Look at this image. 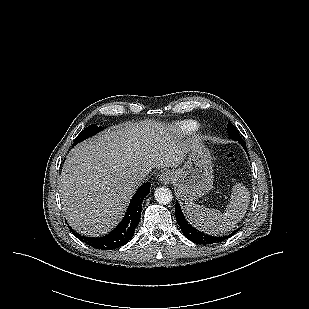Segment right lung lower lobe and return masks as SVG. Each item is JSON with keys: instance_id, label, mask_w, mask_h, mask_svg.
Segmentation results:
<instances>
[{"instance_id": "98d812e1", "label": "right lung lower lobe", "mask_w": 309, "mask_h": 309, "mask_svg": "<svg viewBox=\"0 0 309 309\" xmlns=\"http://www.w3.org/2000/svg\"><path fill=\"white\" fill-rule=\"evenodd\" d=\"M150 186L151 184L147 182L137 190L122 221L108 235L100 238L85 237L70 228L72 233L82 242L100 250H112L125 245L132 238L139 224L143 198L149 194Z\"/></svg>"}]
</instances>
